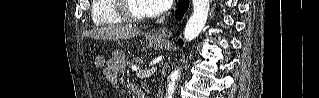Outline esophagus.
I'll use <instances>...</instances> for the list:
<instances>
[{
	"label": "esophagus",
	"mask_w": 319,
	"mask_h": 98,
	"mask_svg": "<svg viewBox=\"0 0 319 98\" xmlns=\"http://www.w3.org/2000/svg\"><path fill=\"white\" fill-rule=\"evenodd\" d=\"M152 36L156 37L158 39L169 41V39L172 37V31L166 27H162V28L155 30L152 33Z\"/></svg>",
	"instance_id": "obj_1"
}]
</instances>
